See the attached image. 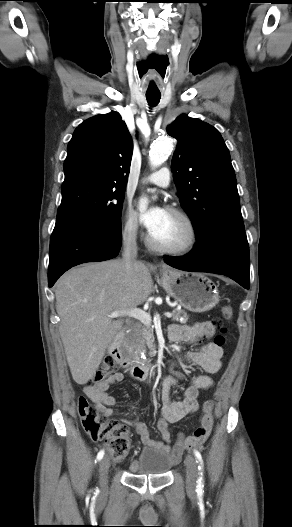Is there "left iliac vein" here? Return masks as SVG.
<instances>
[{
    "mask_svg": "<svg viewBox=\"0 0 292 527\" xmlns=\"http://www.w3.org/2000/svg\"><path fill=\"white\" fill-rule=\"evenodd\" d=\"M186 464V488L189 492L193 493L196 489L198 470L197 462L193 456L188 455L185 459Z\"/></svg>",
    "mask_w": 292,
    "mask_h": 527,
    "instance_id": "1",
    "label": "left iliac vein"
}]
</instances>
